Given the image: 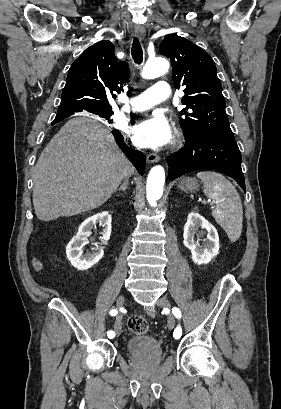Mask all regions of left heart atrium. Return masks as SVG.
I'll use <instances>...</instances> for the list:
<instances>
[{"mask_svg":"<svg viewBox=\"0 0 281 409\" xmlns=\"http://www.w3.org/2000/svg\"><path fill=\"white\" fill-rule=\"evenodd\" d=\"M133 137L139 146L161 148L170 142L172 131L168 120L158 115L136 125L133 129Z\"/></svg>","mask_w":281,"mask_h":409,"instance_id":"left-heart-atrium-1","label":"left heart atrium"}]
</instances>
